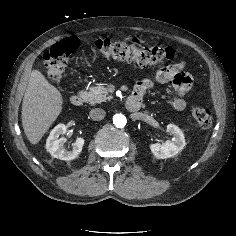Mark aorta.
<instances>
[{
    "instance_id": "1",
    "label": "aorta",
    "mask_w": 236,
    "mask_h": 236,
    "mask_svg": "<svg viewBox=\"0 0 236 236\" xmlns=\"http://www.w3.org/2000/svg\"><path fill=\"white\" fill-rule=\"evenodd\" d=\"M126 117L122 114H115L113 116V124L117 127V128H123L126 125Z\"/></svg>"
}]
</instances>
